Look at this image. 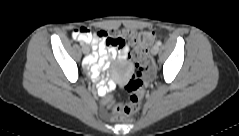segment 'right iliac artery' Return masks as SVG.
I'll return each instance as SVG.
<instances>
[{"label": "right iliac artery", "instance_id": "obj_1", "mask_svg": "<svg viewBox=\"0 0 239 136\" xmlns=\"http://www.w3.org/2000/svg\"><path fill=\"white\" fill-rule=\"evenodd\" d=\"M81 47H85V43L80 42Z\"/></svg>", "mask_w": 239, "mask_h": 136}]
</instances>
